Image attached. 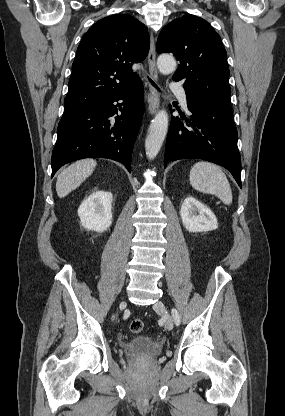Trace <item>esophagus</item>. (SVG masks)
Masks as SVG:
<instances>
[{
	"label": "esophagus",
	"mask_w": 285,
	"mask_h": 416,
	"mask_svg": "<svg viewBox=\"0 0 285 416\" xmlns=\"http://www.w3.org/2000/svg\"><path fill=\"white\" fill-rule=\"evenodd\" d=\"M148 70L151 78L153 80H158V71L156 66V49L153 34L150 35V49L148 53ZM160 97L155 88L150 86V97H149V106L148 112L153 115L159 108Z\"/></svg>",
	"instance_id": "1"
}]
</instances>
